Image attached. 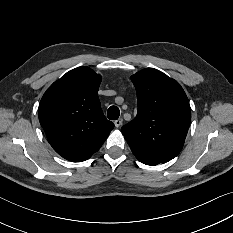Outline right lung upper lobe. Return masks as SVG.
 Listing matches in <instances>:
<instances>
[{"label": "right lung upper lobe", "mask_w": 233, "mask_h": 233, "mask_svg": "<svg viewBox=\"0 0 233 233\" xmlns=\"http://www.w3.org/2000/svg\"><path fill=\"white\" fill-rule=\"evenodd\" d=\"M100 83V75L78 67L53 83L41 99L38 116L48 142L69 161L89 159L114 127L101 109Z\"/></svg>", "instance_id": "cb5924a9"}]
</instances>
